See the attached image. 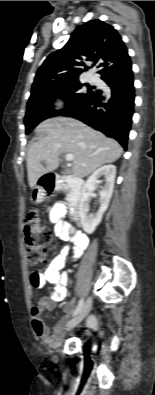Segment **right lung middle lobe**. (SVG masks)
<instances>
[{
    "label": "right lung middle lobe",
    "mask_w": 155,
    "mask_h": 395,
    "mask_svg": "<svg viewBox=\"0 0 155 395\" xmlns=\"http://www.w3.org/2000/svg\"><path fill=\"white\" fill-rule=\"evenodd\" d=\"M83 85L87 84H81L79 80L65 81L49 85L31 96L27 103V111L24 119L26 134H29L44 119L59 115L62 112L53 109L54 99L63 98L66 102L67 109L91 94V87L88 85V92H81L80 89Z\"/></svg>",
    "instance_id": "dd1d6c3e"
}]
</instances>
